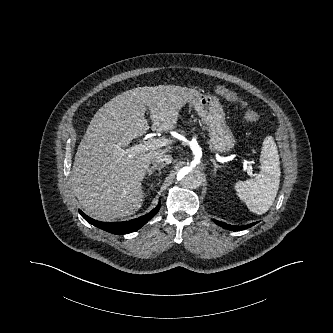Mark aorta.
<instances>
[{"label": "aorta", "instance_id": "aorta-1", "mask_svg": "<svg viewBox=\"0 0 333 333\" xmlns=\"http://www.w3.org/2000/svg\"><path fill=\"white\" fill-rule=\"evenodd\" d=\"M177 179L185 188L196 189L202 183L200 171L191 166L183 167L177 174Z\"/></svg>", "mask_w": 333, "mask_h": 333}]
</instances>
